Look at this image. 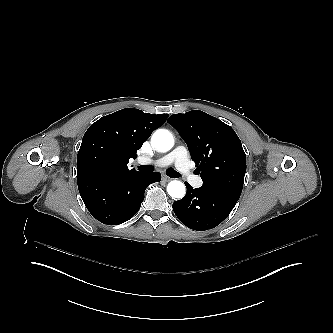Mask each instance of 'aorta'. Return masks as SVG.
Listing matches in <instances>:
<instances>
[{
    "label": "aorta",
    "mask_w": 333,
    "mask_h": 333,
    "mask_svg": "<svg viewBox=\"0 0 333 333\" xmlns=\"http://www.w3.org/2000/svg\"><path fill=\"white\" fill-rule=\"evenodd\" d=\"M152 146L159 152H167L173 146V137L165 129H158L151 138ZM167 192L173 198H183L185 195V185L177 180H173L167 185Z\"/></svg>",
    "instance_id": "aorta-1"
}]
</instances>
